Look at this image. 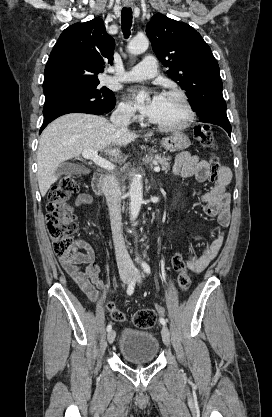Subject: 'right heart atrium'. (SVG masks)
<instances>
[{"label":"right heart atrium","mask_w":272,"mask_h":417,"mask_svg":"<svg viewBox=\"0 0 272 417\" xmlns=\"http://www.w3.org/2000/svg\"><path fill=\"white\" fill-rule=\"evenodd\" d=\"M117 114L119 117L126 120H132L136 118L135 109L133 105L127 100H123L118 104Z\"/></svg>","instance_id":"right-heart-atrium-1"}]
</instances>
